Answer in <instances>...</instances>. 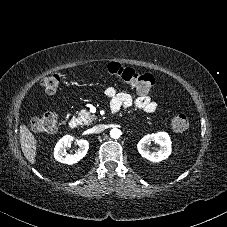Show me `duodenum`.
Masks as SVG:
<instances>
[{
    "instance_id": "obj_1",
    "label": "duodenum",
    "mask_w": 227,
    "mask_h": 227,
    "mask_svg": "<svg viewBox=\"0 0 227 227\" xmlns=\"http://www.w3.org/2000/svg\"><path fill=\"white\" fill-rule=\"evenodd\" d=\"M115 114V111L112 110V115ZM79 126V122L76 118H72L70 121H69V128L72 129V130H75L77 129Z\"/></svg>"
}]
</instances>
